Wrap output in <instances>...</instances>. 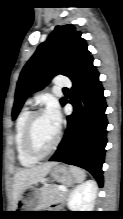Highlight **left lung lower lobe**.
<instances>
[{
	"mask_svg": "<svg viewBox=\"0 0 123 219\" xmlns=\"http://www.w3.org/2000/svg\"><path fill=\"white\" fill-rule=\"evenodd\" d=\"M71 80L73 87L69 103L74 106V111L67 117L64 137L50 161L84 168L102 187V164L107 143V106L93 58L85 61ZM66 103L65 99L62 105Z\"/></svg>",
	"mask_w": 123,
	"mask_h": 219,
	"instance_id": "0a47b994",
	"label": "left lung lower lobe"
}]
</instances>
